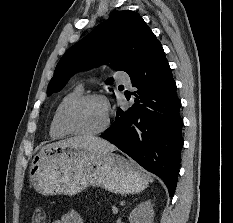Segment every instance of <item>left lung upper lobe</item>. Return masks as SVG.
Masks as SVG:
<instances>
[{
    "label": "left lung upper lobe",
    "instance_id": "5c2ea615",
    "mask_svg": "<svg viewBox=\"0 0 233 223\" xmlns=\"http://www.w3.org/2000/svg\"><path fill=\"white\" fill-rule=\"evenodd\" d=\"M156 37L133 11H118L69 48L56 66L48 96L60 91L70 77L106 62L131 74L142 62ZM112 84L113 79H107Z\"/></svg>",
    "mask_w": 233,
    "mask_h": 223
}]
</instances>
